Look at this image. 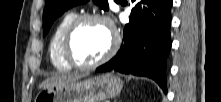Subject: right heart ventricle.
Listing matches in <instances>:
<instances>
[{"mask_svg":"<svg viewBox=\"0 0 221 102\" xmlns=\"http://www.w3.org/2000/svg\"><path fill=\"white\" fill-rule=\"evenodd\" d=\"M77 16L74 11H67L56 24L49 39L48 51L53 66L59 71H69L70 67L63 59L61 45L65 30L69 23Z\"/></svg>","mask_w":221,"mask_h":102,"instance_id":"e07e8e85","label":"right heart ventricle"}]
</instances>
